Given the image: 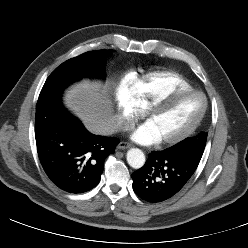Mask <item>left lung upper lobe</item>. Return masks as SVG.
Segmentation results:
<instances>
[{
  "label": "left lung upper lobe",
  "mask_w": 248,
  "mask_h": 248,
  "mask_svg": "<svg viewBox=\"0 0 248 248\" xmlns=\"http://www.w3.org/2000/svg\"><path fill=\"white\" fill-rule=\"evenodd\" d=\"M207 134H208L207 132H202L195 137L186 138L171 148L176 150L191 149V150L204 152L206 140H207Z\"/></svg>",
  "instance_id": "1"
}]
</instances>
